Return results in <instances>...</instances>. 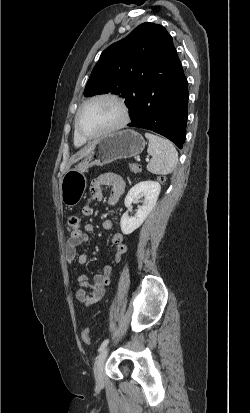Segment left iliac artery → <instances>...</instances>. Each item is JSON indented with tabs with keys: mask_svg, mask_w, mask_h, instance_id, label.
<instances>
[{
	"mask_svg": "<svg viewBox=\"0 0 250 413\" xmlns=\"http://www.w3.org/2000/svg\"><path fill=\"white\" fill-rule=\"evenodd\" d=\"M108 342H109V339H105V340L102 342L101 346L99 347L98 351H99V352L103 351V350L105 349V347L107 346Z\"/></svg>",
	"mask_w": 250,
	"mask_h": 413,
	"instance_id": "1",
	"label": "left iliac artery"
}]
</instances>
